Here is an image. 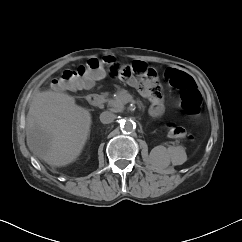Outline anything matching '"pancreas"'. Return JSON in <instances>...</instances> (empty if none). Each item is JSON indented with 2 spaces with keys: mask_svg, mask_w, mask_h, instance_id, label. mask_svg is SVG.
Here are the masks:
<instances>
[{
  "mask_svg": "<svg viewBox=\"0 0 242 242\" xmlns=\"http://www.w3.org/2000/svg\"><path fill=\"white\" fill-rule=\"evenodd\" d=\"M105 97H107V94H104ZM130 100H132V97L130 96L129 92L127 90H120L116 97L107 99L108 106L110 109L114 112H121L124 109V105L128 103Z\"/></svg>",
  "mask_w": 242,
  "mask_h": 242,
  "instance_id": "obj_1",
  "label": "pancreas"
}]
</instances>
